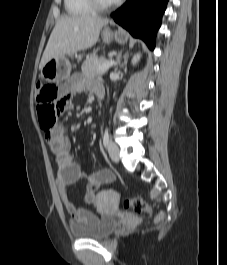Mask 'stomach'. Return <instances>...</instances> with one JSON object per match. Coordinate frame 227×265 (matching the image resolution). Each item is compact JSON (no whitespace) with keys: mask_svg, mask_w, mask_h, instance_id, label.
Returning <instances> with one entry per match:
<instances>
[{"mask_svg":"<svg viewBox=\"0 0 227 265\" xmlns=\"http://www.w3.org/2000/svg\"><path fill=\"white\" fill-rule=\"evenodd\" d=\"M102 38L106 43L115 39L122 44L127 41V35L122 29L111 31L106 28L102 31ZM71 63L67 57L50 59L41 69V77L48 82H59L69 77L71 73Z\"/></svg>","mask_w":227,"mask_h":265,"instance_id":"1","label":"stomach"}]
</instances>
